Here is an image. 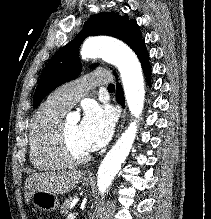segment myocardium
I'll return each mask as SVG.
<instances>
[{
  "label": "myocardium",
  "mask_w": 211,
  "mask_h": 219,
  "mask_svg": "<svg viewBox=\"0 0 211 219\" xmlns=\"http://www.w3.org/2000/svg\"><path fill=\"white\" fill-rule=\"evenodd\" d=\"M56 142L61 156L71 164H83L90 160V153H77L69 140L65 123H59L57 127Z\"/></svg>",
  "instance_id": "obj_1"
}]
</instances>
